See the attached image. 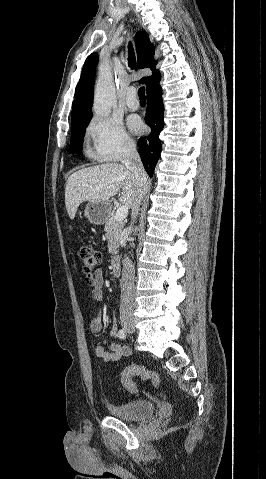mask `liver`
Segmentation results:
<instances>
[{"mask_svg": "<svg viewBox=\"0 0 266 479\" xmlns=\"http://www.w3.org/2000/svg\"><path fill=\"white\" fill-rule=\"evenodd\" d=\"M120 189V202L133 209L140 192L132 173L122 164L105 163L74 172L65 188V205L70 219H74L82 202H107Z\"/></svg>", "mask_w": 266, "mask_h": 479, "instance_id": "liver-1", "label": "liver"}]
</instances>
